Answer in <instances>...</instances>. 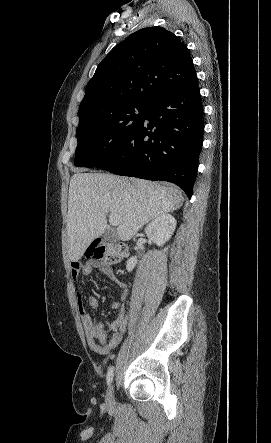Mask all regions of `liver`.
I'll return each mask as SVG.
<instances>
[{
    "label": "liver",
    "instance_id": "6515ba94",
    "mask_svg": "<svg viewBox=\"0 0 271 443\" xmlns=\"http://www.w3.org/2000/svg\"><path fill=\"white\" fill-rule=\"evenodd\" d=\"M178 188L112 174H74L68 196V255L81 259L95 237L103 235L108 214H116L119 239L128 241L157 216L181 208Z\"/></svg>",
    "mask_w": 271,
    "mask_h": 443
}]
</instances>
